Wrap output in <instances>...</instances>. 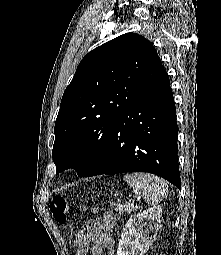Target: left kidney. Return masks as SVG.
Wrapping results in <instances>:
<instances>
[{
	"label": "left kidney",
	"mask_w": 221,
	"mask_h": 255,
	"mask_svg": "<svg viewBox=\"0 0 221 255\" xmlns=\"http://www.w3.org/2000/svg\"><path fill=\"white\" fill-rule=\"evenodd\" d=\"M161 206L148 208L131 216L122 230L116 255H144L159 230Z\"/></svg>",
	"instance_id": "left-kidney-1"
}]
</instances>
